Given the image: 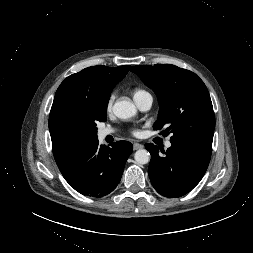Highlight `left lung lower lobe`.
I'll return each mask as SVG.
<instances>
[{"instance_id":"0a47b994","label":"left lung lower lobe","mask_w":253,"mask_h":253,"mask_svg":"<svg viewBox=\"0 0 253 253\" xmlns=\"http://www.w3.org/2000/svg\"><path fill=\"white\" fill-rule=\"evenodd\" d=\"M145 148L151 154L148 174L155 190L162 196L177 198L190 192L202 179L210 162V155L190 147L172 145L165 155L152 143Z\"/></svg>"}]
</instances>
